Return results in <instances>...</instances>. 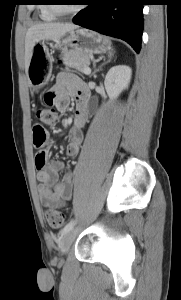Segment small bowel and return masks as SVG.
<instances>
[{
    "instance_id": "c3829d8e",
    "label": "small bowel",
    "mask_w": 181,
    "mask_h": 300,
    "mask_svg": "<svg viewBox=\"0 0 181 300\" xmlns=\"http://www.w3.org/2000/svg\"><path fill=\"white\" fill-rule=\"evenodd\" d=\"M54 95L53 105L60 111H65L69 104L70 97L76 102V110L72 126L68 132V145L66 154L69 157L78 155L83 140L81 129L85 126L88 119L89 94L84 83L74 74L61 72L57 75L54 85L49 92ZM45 157V163L38 168L37 179L40 182L38 191L40 199L45 206H61L69 201L72 196L74 174L66 171L61 177L60 173L64 170V163L60 159L47 160L48 150H41Z\"/></svg>"
}]
</instances>
